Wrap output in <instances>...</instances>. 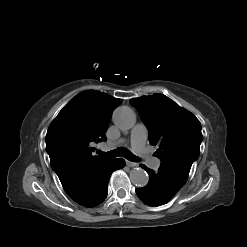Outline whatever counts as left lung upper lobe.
Returning a JSON list of instances; mask_svg holds the SVG:
<instances>
[{"label": "left lung upper lobe", "instance_id": "left-lung-upper-lobe-1", "mask_svg": "<svg viewBox=\"0 0 247 247\" xmlns=\"http://www.w3.org/2000/svg\"><path fill=\"white\" fill-rule=\"evenodd\" d=\"M149 130L151 145L161 159L160 168L185 184L192 163L199 157L201 124L189 111L163 94L131 99Z\"/></svg>", "mask_w": 247, "mask_h": 247}]
</instances>
